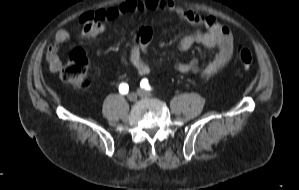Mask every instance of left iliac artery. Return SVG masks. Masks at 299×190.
<instances>
[{"label":"left iliac artery","instance_id":"1","mask_svg":"<svg viewBox=\"0 0 299 190\" xmlns=\"http://www.w3.org/2000/svg\"><path fill=\"white\" fill-rule=\"evenodd\" d=\"M140 86H141L142 88H144L145 90H151V88H150V86H149V83H148V79H146V78H143V79L141 80Z\"/></svg>","mask_w":299,"mask_h":190}]
</instances>
